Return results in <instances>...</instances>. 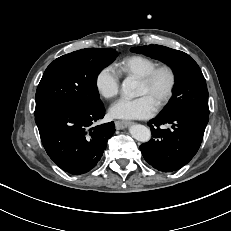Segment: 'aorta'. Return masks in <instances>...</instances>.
I'll return each mask as SVG.
<instances>
[{
	"instance_id": "762f6f07",
	"label": "aorta",
	"mask_w": 231,
	"mask_h": 231,
	"mask_svg": "<svg viewBox=\"0 0 231 231\" xmlns=\"http://www.w3.org/2000/svg\"><path fill=\"white\" fill-rule=\"evenodd\" d=\"M137 86L138 83L136 80L131 77H127L122 82V93L125 96L132 98L137 94ZM129 132L134 139L143 143L148 142L151 138L150 129L141 124L131 126Z\"/></svg>"
}]
</instances>
